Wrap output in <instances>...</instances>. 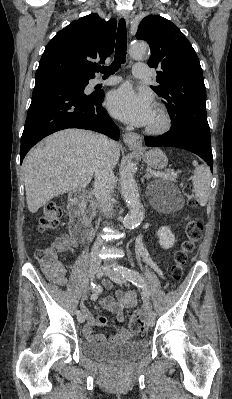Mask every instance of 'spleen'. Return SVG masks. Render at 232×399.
<instances>
[{
  "instance_id": "obj_1",
  "label": "spleen",
  "mask_w": 232,
  "mask_h": 399,
  "mask_svg": "<svg viewBox=\"0 0 232 399\" xmlns=\"http://www.w3.org/2000/svg\"><path fill=\"white\" fill-rule=\"evenodd\" d=\"M192 184L194 186L195 198L200 203V205H206L209 194H210V184H211V172L208 166L202 164L194 170L192 176Z\"/></svg>"
}]
</instances>
